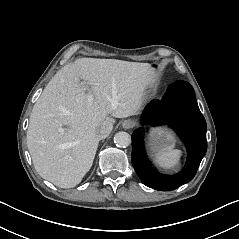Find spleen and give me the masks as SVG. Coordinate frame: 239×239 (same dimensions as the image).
<instances>
[{"label": "spleen", "mask_w": 239, "mask_h": 239, "mask_svg": "<svg viewBox=\"0 0 239 239\" xmlns=\"http://www.w3.org/2000/svg\"><path fill=\"white\" fill-rule=\"evenodd\" d=\"M180 151L177 149H166L156 156V161L163 166H174L178 164Z\"/></svg>", "instance_id": "spleen-1"}]
</instances>
